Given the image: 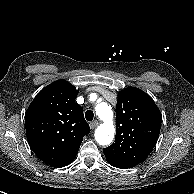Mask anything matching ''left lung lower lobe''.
I'll return each mask as SVG.
<instances>
[{"label":"left lung lower lobe","instance_id":"obj_1","mask_svg":"<svg viewBox=\"0 0 194 194\" xmlns=\"http://www.w3.org/2000/svg\"><path fill=\"white\" fill-rule=\"evenodd\" d=\"M109 164H111L112 166L117 167V168L127 169V168H124V167H120V166L114 165V164H112V163H109Z\"/></svg>","mask_w":194,"mask_h":194}]
</instances>
